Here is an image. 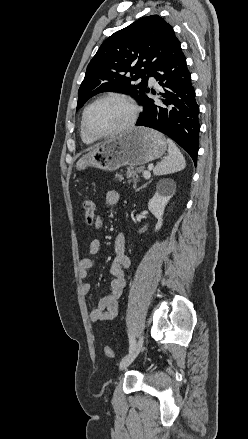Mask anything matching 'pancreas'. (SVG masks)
Instances as JSON below:
<instances>
[{
	"instance_id": "pancreas-1",
	"label": "pancreas",
	"mask_w": 248,
	"mask_h": 439,
	"mask_svg": "<svg viewBox=\"0 0 248 439\" xmlns=\"http://www.w3.org/2000/svg\"><path fill=\"white\" fill-rule=\"evenodd\" d=\"M141 172H144V168L143 167H139L137 169H132V170H127L126 171V177L128 179V182H133V184H134L133 186L134 187H136V184L139 181V174ZM115 176H116V178L119 181L123 180V176L122 175L116 174Z\"/></svg>"
}]
</instances>
